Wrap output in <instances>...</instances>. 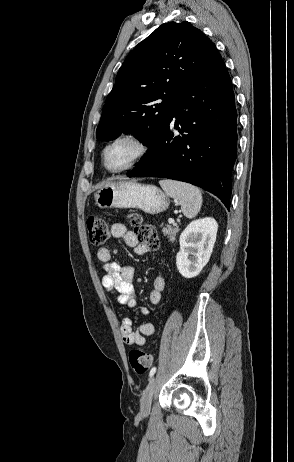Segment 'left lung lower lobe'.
<instances>
[{"label": "left lung lower lobe", "instance_id": "0a47b994", "mask_svg": "<svg viewBox=\"0 0 294 462\" xmlns=\"http://www.w3.org/2000/svg\"><path fill=\"white\" fill-rule=\"evenodd\" d=\"M236 122L232 82L221 59L186 87L162 133L147 146L152 154L127 175L191 183L216 195L229 210Z\"/></svg>", "mask_w": 294, "mask_h": 462}]
</instances>
